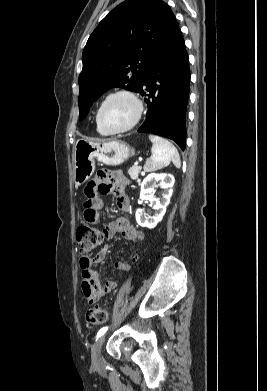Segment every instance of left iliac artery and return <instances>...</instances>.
I'll list each match as a JSON object with an SVG mask.
<instances>
[{
    "label": "left iliac artery",
    "instance_id": "44dca946",
    "mask_svg": "<svg viewBox=\"0 0 267 391\" xmlns=\"http://www.w3.org/2000/svg\"><path fill=\"white\" fill-rule=\"evenodd\" d=\"M108 327H103L99 330V332L97 333V338L102 336L106 331H107Z\"/></svg>",
    "mask_w": 267,
    "mask_h": 391
}]
</instances>
